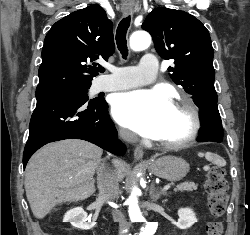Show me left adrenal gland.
I'll return each mask as SVG.
<instances>
[{"label":"left adrenal gland","mask_w":250,"mask_h":235,"mask_svg":"<svg viewBox=\"0 0 250 235\" xmlns=\"http://www.w3.org/2000/svg\"><path fill=\"white\" fill-rule=\"evenodd\" d=\"M166 195L164 191H157L154 184H151L150 188V198L152 201L157 202V200L162 196Z\"/></svg>","instance_id":"a2214340"}]
</instances>
